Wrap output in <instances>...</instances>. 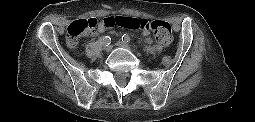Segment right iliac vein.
Returning <instances> with one entry per match:
<instances>
[{
  "label": "right iliac vein",
  "instance_id": "63e3f726",
  "mask_svg": "<svg viewBox=\"0 0 255 122\" xmlns=\"http://www.w3.org/2000/svg\"><path fill=\"white\" fill-rule=\"evenodd\" d=\"M112 50V45H108L105 47V51L109 53Z\"/></svg>",
  "mask_w": 255,
  "mask_h": 122
}]
</instances>
